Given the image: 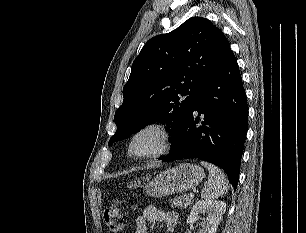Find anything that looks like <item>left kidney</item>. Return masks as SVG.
I'll use <instances>...</instances> for the list:
<instances>
[{
    "label": "left kidney",
    "mask_w": 306,
    "mask_h": 233,
    "mask_svg": "<svg viewBox=\"0 0 306 233\" xmlns=\"http://www.w3.org/2000/svg\"><path fill=\"white\" fill-rule=\"evenodd\" d=\"M225 210L226 203L223 201L200 200L193 206L188 216L187 224L192 225L194 221L198 220L199 214L203 213L206 214V217L202 219V228L198 233H216Z\"/></svg>",
    "instance_id": "left-kidney-1"
}]
</instances>
